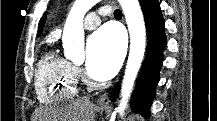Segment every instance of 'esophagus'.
Segmentation results:
<instances>
[{
  "label": "esophagus",
  "instance_id": "obj_1",
  "mask_svg": "<svg viewBox=\"0 0 217 121\" xmlns=\"http://www.w3.org/2000/svg\"><path fill=\"white\" fill-rule=\"evenodd\" d=\"M97 105L108 106L109 105V92H104L97 99Z\"/></svg>",
  "mask_w": 217,
  "mask_h": 121
}]
</instances>
